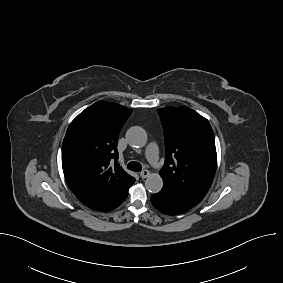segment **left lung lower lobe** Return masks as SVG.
Masks as SVG:
<instances>
[{"mask_svg": "<svg viewBox=\"0 0 283 283\" xmlns=\"http://www.w3.org/2000/svg\"><path fill=\"white\" fill-rule=\"evenodd\" d=\"M151 203L156 209L167 215H178L192 208L178 194L164 186L159 193L151 196Z\"/></svg>", "mask_w": 283, "mask_h": 283, "instance_id": "0a47b994", "label": "left lung lower lobe"}]
</instances>
